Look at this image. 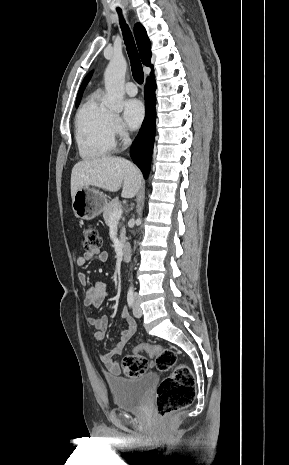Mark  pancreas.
Returning a JSON list of instances; mask_svg holds the SVG:
<instances>
[{
    "mask_svg": "<svg viewBox=\"0 0 289 465\" xmlns=\"http://www.w3.org/2000/svg\"><path fill=\"white\" fill-rule=\"evenodd\" d=\"M121 208V204L119 203L118 199L115 198L111 202H109L106 207L103 210V218L105 220V223L109 225L111 223V214L113 211L118 210ZM125 228H122L120 232V240L122 243L126 241V236H125Z\"/></svg>",
    "mask_w": 289,
    "mask_h": 465,
    "instance_id": "pancreas-1",
    "label": "pancreas"
}]
</instances>
